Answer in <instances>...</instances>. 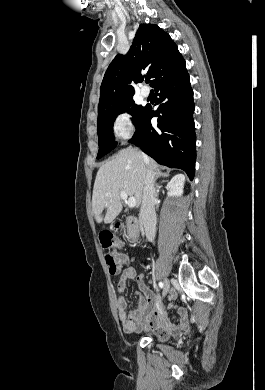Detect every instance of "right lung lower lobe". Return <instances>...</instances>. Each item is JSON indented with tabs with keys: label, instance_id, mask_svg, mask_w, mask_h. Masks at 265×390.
Wrapping results in <instances>:
<instances>
[{
	"label": "right lung lower lobe",
	"instance_id": "right-lung-lower-lobe-1",
	"mask_svg": "<svg viewBox=\"0 0 265 390\" xmlns=\"http://www.w3.org/2000/svg\"><path fill=\"white\" fill-rule=\"evenodd\" d=\"M159 107L147 106L145 116L129 142L139 146L159 164L184 170L192 180L195 174L196 137L194 102L185 60L154 86ZM158 117L157 126L151 118Z\"/></svg>",
	"mask_w": 265,
	"mask_h": 390
}]
</instances>
